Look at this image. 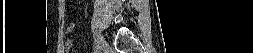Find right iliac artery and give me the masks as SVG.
<instances>
[{
  "label": "right iliac artery",
  "instance_id": "82829eb1",
  "mask_svg": "<svg viewBox=\"0 0 253 53\" xmlns=\"http://www.w3.org/2000/svg\"><path fill=\"white\" fill-rule=\"evenodd\" d=\"M93 37H94V47H95L94 53H97V51L99 49L98 40H97V37H95V34H93Z\"/></svg>",
  "mask_w": 253,
  "mask_h": 53
}]
</instances>
